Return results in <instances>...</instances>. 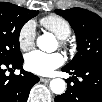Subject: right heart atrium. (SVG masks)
Wrapping results in <instances>:
<instances>
[{
  "mask_svg": "<svg viewBox=\"0 0 102 102\" xmlns=\"http://www.w3.org/2000/svg\"><path fill=\"white\" fill-rule=\"evenodd\" d=\"M35 39V23L32 20H29L20 28L18 33V42L23 50H30L35 44Z\"/></svg>",
  "mask_w": 102,
  "mask_h": 102,
  "instance_id": "obj_1",
  "label": "right heart atrium"
}]
</instances>
